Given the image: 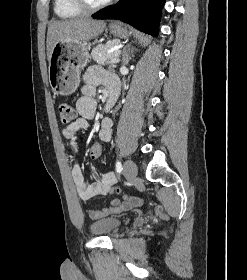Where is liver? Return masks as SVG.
Returning <instances> with one entry per match:
<instances>
[{"mask_svg":"<svg viewBox=\"0 0 247 280\" xmlns=\"http://www.w3.org/2000/svg\"><path fill=\"white\" fill-rule=\"evenodd\" d=\"M106 27L101 20L78 18L52 21L47 32V59L50 61L52 50L60 41L86 42L100 35Z\"/></svg>","mask_w":247,"mask_h":280,"instance_id":"6515ba94","label":"liver"}]
</instances>
